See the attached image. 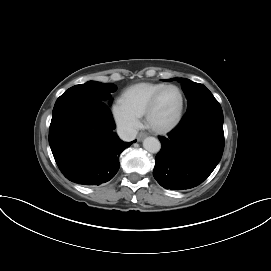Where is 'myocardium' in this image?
Returning <instances> with one entry per match:
<instances>
[{"label":"myocardium","mask_w":271,"mask_h":271,"mask_svg":"<svg viewBox=\"0 0 271 271\" xmlns=\"http://www.w3.org/2000/svg\"><path fill=\"white\" fill-rule=\"evenodd\" d=\"M171 88L176 89L180 95L179 110H178L175 118L167 125H164V126L155 125L152 121V115L157 107V104H158L159 99L162 96V94L166 90L171 89ZM184 107H185V98H184V94H183V91L181 90V88L176 85H173V84L165 85L161 89H159L153 95L151 100L149 101V103L146 107L145 113H144L145 121H146L147 125L149 126V128L152 129L154 132L160 133V134L167 133V132L171 131L172 129H174L181 121L182 116H183V112H184Z\"/></svg>","instance_id":"myocardium-1"}]
</instances>
